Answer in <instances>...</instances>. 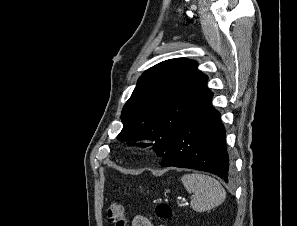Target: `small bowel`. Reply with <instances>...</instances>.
Instances as JSON below:
<instances>
[{
    "label": "small bowel",
    "mask_w": 297,
    "mask_h": 226,
    "mask_svg": "<svg viewBox=\"0 0 297 226\" xmlns=\"http://www.w3.org/2000/svg\"><path fill=\"white\" fill-rule=\"evenodd\" d=\"M132 226H153V224L147 217L137 215L132 220ZM159 226H165V225H159Z\"/></svg>",
    "instance_id": "small-bowel-1"
}]
</instances>
